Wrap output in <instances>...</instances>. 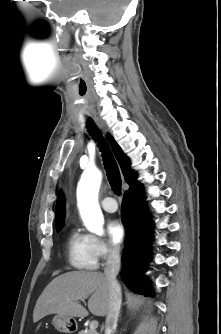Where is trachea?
Listing matches in <instances>:
<instances>
[{"label": "trachea", "mask_w": 221, "mask_h": 334, "mask_svg": "<svg viewBox=\"0 0 221 334\" xmlns=\"http://www.w3.org/2000/svg\"><path fill=\"white\" fill-rule=\"evenodd\" d=\"M87 127H88L90 134L93 135V137L96 140H98V145L102 152L104 167L106 170V174H107L111 189L114 191V193L120 194L122 182L120 178L119 169L113 157V154L109 146L105 142V140L102 138V135L99 129L97 128V126L95 125L92 119L88 120Z\"/></svg>", "instance_id": "obj_1"}]
</instances>
